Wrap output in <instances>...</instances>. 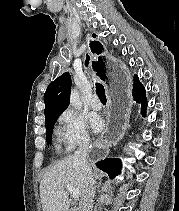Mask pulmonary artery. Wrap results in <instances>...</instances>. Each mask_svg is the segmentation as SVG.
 Instances as JSON below:
<instances>
[{"label":"pulmonary artery","instance_id":"e3ab8cb5","mask_svg":"<svg viewBox=\"0 0 179 211\" xmlns=\"http://www.w3.org/2000/svg\"><path fill=\"white\" fill-rule=\"evenodd\" d=\"M90 105L94 110H100L102 108V103L96 94L93 96Z\"/></svg>","mask_w":179,"mask_h":211}]
</instances>
